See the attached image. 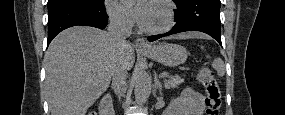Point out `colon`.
<instances>
[{"label":"colon","instance_id":"5ec220e1","mask_svg":"<svg viewBox=\"0 0 285 115\" xmlns=\"http://www.w3.org/2000/svg\"><path fill=\"white\" fill-rule=\"evenodd\" d=\"M198 79L206 92V114H220L222 92L213 72L208 67H202L199 70ZM90 115H95V113H90Z\"/></svg>","mask_w":285,"mask_h":115}]
</instances>
